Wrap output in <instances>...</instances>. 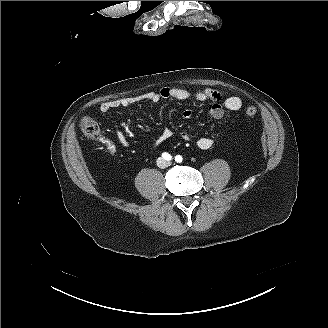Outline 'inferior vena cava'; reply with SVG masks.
Returning <instances> with one entry per match:
<instances>
[{
  "label": "inferior vena cava",
  "instance_id": "1",
  "mask_svg": "<svg viewBox=\"0 0 328 328\" xmlns=\"http://www.w3.org/2000/svg\"><path fill=\"white\" fill-rule=\"evenodd\" d=\"M158 161H163V162H164L165 160H164V159H162V158H159V159H158Z\"/></svg>",
  "mask_w": 328,
  "mask_h": 328
}]
</instances>
